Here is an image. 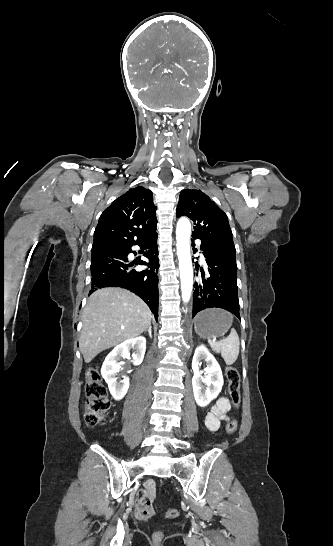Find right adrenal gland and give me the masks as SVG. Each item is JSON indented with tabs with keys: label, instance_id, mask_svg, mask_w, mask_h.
<instances>
[{
	"label": "right adrenal gland",
	"instance_id": "1",
	"mask_svg": "<svg viewBox=\"0 0 333 546\" xmlns=\"http://www.w3.org/2000/svg\"><path fill=\"white\" fill-rule=\"evenodd\" d=\"M151 328H152V326H151V325H149V328L147 329V331H145V333H146V332H148V334H149V337H150V338L152 339V332H151Z\"/></svg>",
	"mask_w": 333,
	"mask_h": 546
}]
</instances>
